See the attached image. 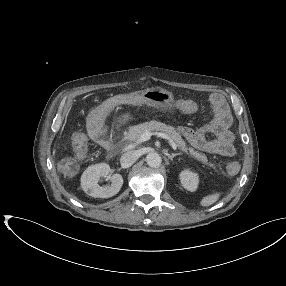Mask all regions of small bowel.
Instances as JSON below:
<instances>
[{"label": "small bowel", "instance_id": "c3829d8e", "mask_svg": "<svg viewBox=\"0 0 286 286\" xmlns=\"http://www.w3.org/2000/svg\"><path fill=\"white\" fill-rule=\"evenodd\" d=\"M214 112V120L194 130L187 126L178 128L179 134L193 147L223 157H232L235 154L234 135L229 130L231 116L224 97L214 94L210 99ZM176 108L186 114H194L198 111V104L192 100H178Z\"/></svg>", "mask_w": 286, "mask_h": 286}]
</instances>
